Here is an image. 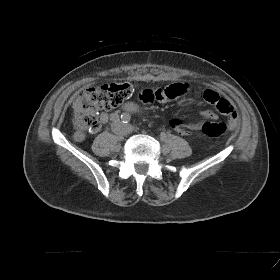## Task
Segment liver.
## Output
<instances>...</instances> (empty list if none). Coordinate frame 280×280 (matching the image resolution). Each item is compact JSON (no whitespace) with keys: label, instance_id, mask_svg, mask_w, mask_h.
<instances>
[{"label":"liver","instance_id":"1","mask_svg":"<svg viewBox=\"0 0 280 280\" xmlns=\"http://www.w3.org/2000/svg\"><path fill=\"white\" fill-rule=\"evenodd\" d=\"M73 109L75 113H79L82 110V101L80 98L79 99L77 98L73 103Z\"/></svg>","mask_w":280,"mask_h":280}]
</instances>
